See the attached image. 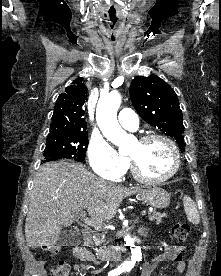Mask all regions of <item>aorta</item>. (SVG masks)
<instances>
[{"label": "aorta", "instance_id": "762f6f07", "mask_svg": "<svg viewBox=\"0 0 221 276\" xmlns=\"http://www.w3.org/2000/svg\"><path fill=\"white\" fill-rule=\"evenodd\" d=\"M121 104V96L117 92H111L101 96L96 109L97 124L103 135L120 148L126 143L127 134L121 128L117 120V111ZM126 245L131 246V259L128 264L134 265L142 258L141 249L134 246V240L130 236L125 237Z\"/></svg>", "mask_w": 221, "mask_h": 276}]
</instances>
